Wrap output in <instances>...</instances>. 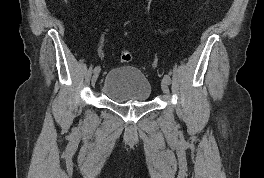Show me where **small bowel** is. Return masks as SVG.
<instances>
[{"instance_id":"small-bowel-1","label":"small bowel","mask_w":264,"mask_h":178,"mask_svg":"<svg viewBox=\"0 0 264 178\" xmlns=\"http://www.w3.org/2000/svg\"><path fill=\"white\" fill-rule=\"evenodd\" d=\"M98 54H99V56H100L101 58L104 57V52H103V50H102L101 48L98 50Z\"/></svg>"}]
</instances>
